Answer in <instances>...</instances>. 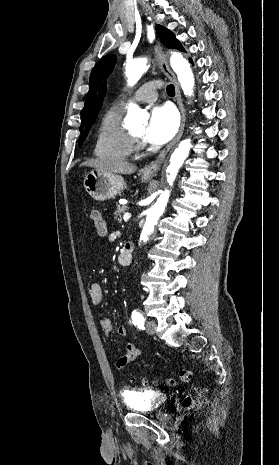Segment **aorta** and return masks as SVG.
I'll list each match as a JSON object with an SVG mask.
<instances>
[{
	"mask_svg": "<svg viewBox=\"0 0 279 465\" xmlns=\"http://www.w3.org/2000/svg\"><path fill=\"white\" fill-rule=\"evenodd\" d=\"M170 64L174 72L177 74L178 81L184 94L191 97L193 95L195 81L190 64L180 53L177 52L171 55ZM147 68V60L145 58L135 59L128 62L125 67L128 85H135ZM127 116L135 125H140L148 119V115L133 103L129 104ZM190 149L191 140L185 139L179 143L178 147L172 153L170 157V165L167 168V181L170 185L173 184L180 167L189 155ZM169 195L170 191H163L156 203L148 210L146 222L140 236L141 241H147L149 236L153 233L159 217L165 210Z\"/></svg>",
	"mask_w": 279,
	"mask_h": 465,
	"instance_id": "762f6f07",
	"label": "aorta"
}]
</instances>
